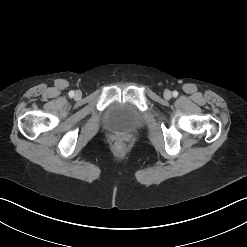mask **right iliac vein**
<instances>
[{
	"mask_svg": "<svg viewBox=\"0 0 247 247\" xmlns=\"http://www.w3.org/2000/svg\"><path fill=\"white\" fill-rule=\"evenodd\" d=\"M75 97L78 99L81 97V93L79 91L76 92Z\"/></svg>",
	"mask_w": 247,
	"mask_h": 247,
	"instance_id": "obj_1",
	"label": "right iliac vein"
}]
</instances>
